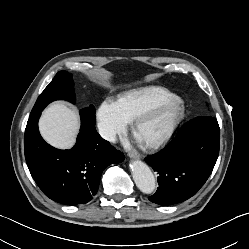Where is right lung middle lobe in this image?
Here are the masks:
<instances>
[{
	"label": "right lung middle lobe",
	"mask_w": 249,
	"mask_h": 249,
	"mask_svg": "<svg viewBox=\"0 0 249 249\" xmlns=\"http://www.w3.org/2000/svg\"><path fill=\"white\" fill-rule=\"evenodd\" d=\"M72 74L66 71H60L56 74L52 82L44 89L38 97L31 114L38 110H43L50 102L54 100L64 99L74 103V89H73ZM81 119L95 124V108L93 105L81 109L79 111Z\"/></svg>",
	"instance_id": "obj_1"
}]
</instances>
